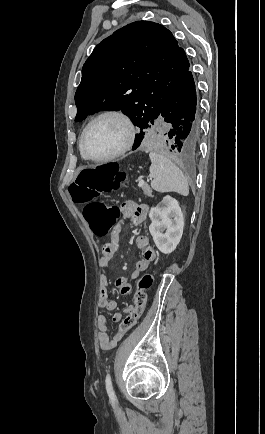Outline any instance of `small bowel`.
I'll return each instance as SVG.
<instances>
[{
	"instance_id": "1",
	"label": "small bowel",
	"mask_w": 265,
	"mask_h": 434,
	"mask_svg": "<svg viewBox=\"0 0 265 434\" xmlns=\"http://www.w3.org/2000/svg\"><path fill=\"white\" fill-rule=\"evenodd\" d=\"M122 219L113 231L112 240L103 245L102 254L99 259V267L104 270L108 267L110 261L118 250L117 241L122 226L130 221L135 227H141L147 219L148 208L144 205H138L133 201H125L122 206ZM136 246L141 251L142 259L136 263L135 269L130 276L131 280L137 278L142 272L149 267V262L152 261L156 252L150 243L148 236L140 234L136 237ZM115 285L122 295H128L131 292V285L127 278L119 277L115 281ZM110 280L105 273H102L99 281V297L98 305L101 309L113 311L117 307V302L110 298L109 295ZM134 310V306L127 305L123 309V313L129 314ZM123 313L115 312L111 319L113 322H120L123 319ZM98 334L97 339L99 347L103 351H109L116 347L118 342H115L113 336L108 334V319L106 315L99 314L96 318ZM118 330V329H117Z\"/></svg>"
}]
</instances>
